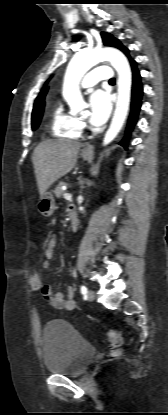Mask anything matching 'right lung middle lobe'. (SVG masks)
Returning <instances> with one entry per match:
<instances>
[{
	"mask_svg": "<svg viewBox=\"0 0 168 415\" xmlns=\"http://www.w3.org/2000/svg\"><path fill=\"white\" fill-rule=\"evenodd\" d=\"M42 114H43V109H40L34 113H32V128L36 129L41 121L42 118Z\"/></svg>",
	"mask_w": 168,
	"mask_h": 415,
	"instance_id": "right-lung-middle-lobe-1",
	"label": "right lung middle lobe"
}]
</instances>
